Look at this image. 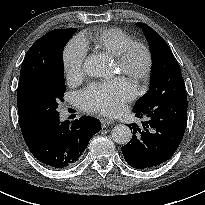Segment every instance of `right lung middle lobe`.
<instances>
[{
    "label": "right lung middle lobe",
    "mask_w": 205,
    "mask_h": 205,
    "mask_svg": "<svg viewBox=\"0 0 205 205\" xmlns=\"http://www.w3.org/2000/svg\"><path fill=\"white\" fill-rule=\"evenodd\" d=\"M76 28L59 33L56 41L27 86V98L33 109L49 121L58 116L59 100L63 99L64 82L63 48Z\"/></svg>",
    "instance_id": "1"
}]
</instances>
